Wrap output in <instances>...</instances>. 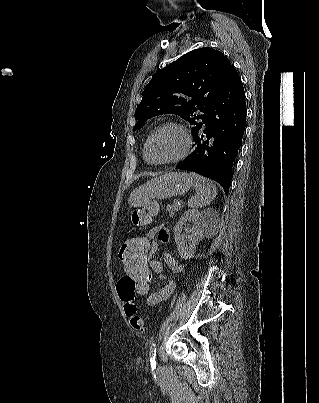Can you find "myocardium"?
Instances as JSON below:
<instances>
[{"label": "myocardium", "instance_id": "obj_1", "mask_svg": "<svg viewBox=\"0 0 319 403\" xmlns=\"http://www.w3.org/2000/svg\"><path fill=\"white\" fill-rule=\"evenodd\" d=\"M168 128H173L180 132L182 139H183V145H182L181 151L172 158L162 160V161H151L148 157V149H149V145H150L152 139L155 137V135L157 133H159L160 131H162L164 129H168ZM190 148H191V137L189 135L187 128L181 123L169 121V122H165V123L159 125L158 127H156L151 132V134L148 136V138L145 142V145H144V158L148 163L153 164V165H164V164L177 163L188 156V154L190 152Z\"/></svg>", "mask_w": 319, "mask_h": 403}]
</instances>
